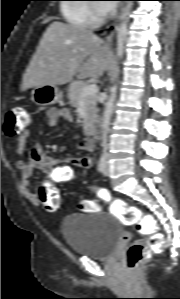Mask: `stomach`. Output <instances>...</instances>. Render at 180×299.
<instances>
[{
	"mask_svg": "<svg viewBox=\"0 0 180 299\" xmlns=\"http://www.w3.org/2000/svg\"><path fill=\"white\" fill-rule=\"evenodd\" d=\"M63 98V92L52 85L34 87L31 91V99L39 106H49L58 103Z\"/></svg>",
	"mask_w": 180,
	"mask_h": 299,
	"instance_id": "0dacf381",
	"label": "stomach"
}]
</instances>
